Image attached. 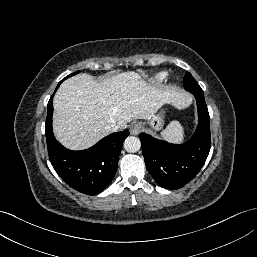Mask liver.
Instances as JSON below:
<instances>
[{
	"label": "liver",
	"instance_id": "obj_1",
	"mask_svg": "<svg viewBox=\"0 0 257 257\" xmlns=\"http://www.w3.org/2000/svg\"><path fill=\"white\" fill-rule=\"evenodd\" d=\"M184 93L160 90L128 71L103 81L82 73L64 81L54 96L56 139L72 150L88 148L106 136L105 126L126 128L134 119H151L164 104L180 108Z\"/></svg>",
	"mask_w": 257,
	"mask_h": 257
}]
</instances>
